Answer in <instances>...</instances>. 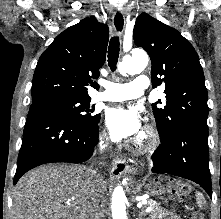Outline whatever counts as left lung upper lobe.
Instances as JSON below:
<instances>
[{
  "mask_svg": "<svg viewBox=\"0 0 221 219\" xmlns=\"http://www.w3.org/2000/svg\"><path fill=\"white\" fill-rule=\"evenodd\" d=\"M133 37L150 56L153 87L165 85L166 100L152 104L160 137L186 124L208 129V94L193 46L176 29L147 13L137 18Z\"/></svg>",
  "mask_w": 221,
  "mask_h": 219,
  "instance_id": "1",
  "label": "left lung upper lobe"
}]
</instances>
